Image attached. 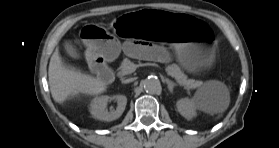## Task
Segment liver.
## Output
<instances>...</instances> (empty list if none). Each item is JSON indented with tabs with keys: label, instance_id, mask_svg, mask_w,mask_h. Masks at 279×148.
Here are the masks:
<instances>
[{
	"label": "liver",
	"instance_id": "1",
	"mask_svg": "<svg viewBox=\"0 0 279 148\" xmlns=\"http://www.w3.org/2000/svg\"><path fill=\"white\" fill-rule=\"evenodd\" d=\"M49 86L55 102L63 104L80 94L98 95L106 91L107 84L99 76L81 73L80 70L67 68L56 48L51 56L49 69Z\"/></svg>",
	"mask_w": 279,
	"mask_h": 148
}]
</instances>
